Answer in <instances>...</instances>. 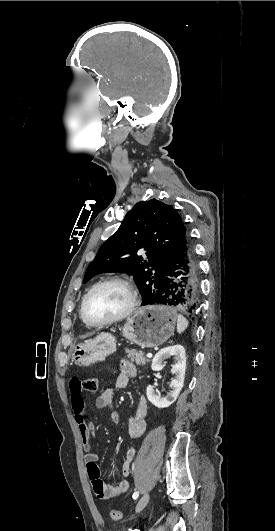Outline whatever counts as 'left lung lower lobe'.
Here are the masks:
<instances>
[{
  "label": "left lung lower lobe",
  "instance_id": "1",
  "mask_svg": "<svg viewBox=\"0 0 275 531\" xmlns=\"http://www.w3.org/2000/svg\"><path fill=\"white\" fill-rule=\"evenodd\" d=\"M200 269L194 244L187 232L170 261L165 286L153 304L174 306L195 315L200 301Z\"/></svg>",
  "mask_w": 275,
  "mask_h": 531
}]
</instances>
